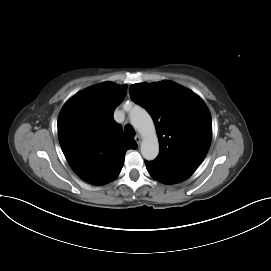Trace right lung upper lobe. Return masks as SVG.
Returning a JSON list of instances; mask_svg holds the SVG:
<instances>
[{
  "label": "right lung upper lobe",
  "instance_id": "1",
  "mask_svg": "<svg viewBox=\"0 0 271 271\" xmlns=\"http://www.w3.org/2000/svg\"><path fill=\"white\" fill-rule=\"evenodd\" d=\"M126 86L111 82L89 87L70 98L58 117V138L73 171L84 181L103 185L117 178L128 149L137 143L113 120Z\"/></svg>",
  "mask_w": 271,
  "mask_h": 271
}]
</instances>
